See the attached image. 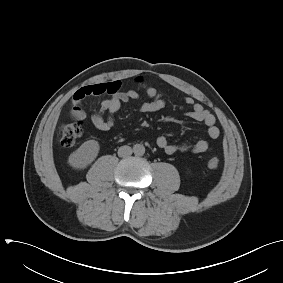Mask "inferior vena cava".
Listing matches in <instances>:
<instances>
[{
  "instance_id": "1",
  "label": "inferior vena cava",
  "mask_w": 283,
  "mask_h": 283,
  "mask_svg": "<svg viewBox=\"0 0 283 283\" xmlns=\"http://www.w3.org/2000/svg\"><path fill=\"white\" fill-rule=\"evenodd\" d=\"M133 150L131 147L129 146H121L119 149H118V156L119 157H128L132 154Z\"/></svg>"
}]
</instances>
